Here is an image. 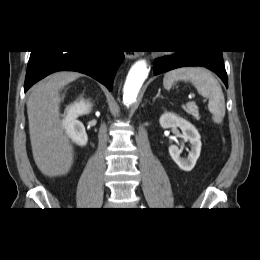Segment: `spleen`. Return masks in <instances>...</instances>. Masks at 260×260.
<instances>
[{"instance_id":"1","label":"spleen","mask_w":260,"mask_h":260,"mask_svg":"<svg viewBox=\"0 0 260 260\" xmlns=\"http://www.w3.org/2000/svg\"><path fill=\"white\" fill-rule=\"evenodd\" d=\"M178 81L190 82L198 93L209 99L208 109L215 123H221L225 115V99L218 80L212 73L200 67H184L169 71L163 79V86L170 90Z\"/></svg>"}]
</instances>
